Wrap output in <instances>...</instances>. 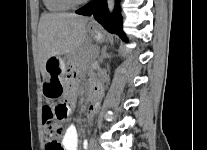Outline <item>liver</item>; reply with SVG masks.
I'll return each mask as SVG.
<instances>
[{
    "instance_id": "6515ba94",
    "label": "liver",
    "mask_w": 207,
    "mask_h": 150,
    "mask_svg": "<svg viewBox=\"0 0 207 150\" xmlns=\"http://www.w3.org/2000/svg\"><path fill=\"white\" fill-rule=\"evenodd\" d=\"M88 19L68 13H45L38 25V50L40 70L46 77V63L52 56L72 54L79 50L86 40Z\"/></svg>"
}]
</instances>
